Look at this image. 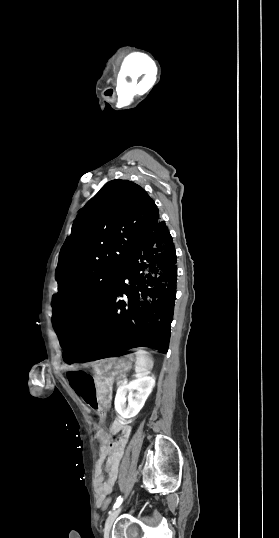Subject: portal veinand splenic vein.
Segmentation results:
<instances>
[{"label": "portal vein and splenic vein", "mask_w": 279, "mask_h": 538, "mask_svg": "<svg viewBox=\"0 0 279 538\" xmlns=\"http://www.w3.org/2000/svg\"><path fill=\"white\" fill-rule=\"evenodd\" d=\"M124 383H128V377H125Z\"/></svg>", "instance_id": "obj_1"}]
</instances>
